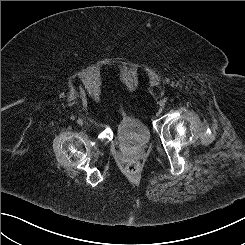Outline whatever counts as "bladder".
<instances>
[{"label":"bladder","mask_w":245,"mask_h":245,"mask_svg":"<svg viewBox=\"0 0 245 245\" xmlns=\"http://www.w3.org/2000/svg\"><path fill=\"white\" fill-rule=\"evenodd\" d=\"M116 138L123 146L139 149L149 143L151 134L144 121L125 116L120 119L116 127Z\"/></svg>","instance_id":"31cf9c89"}]
</instances>
